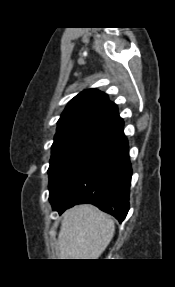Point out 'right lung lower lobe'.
Here are the masks:
<instances>
[{
    "label": "right lung lower lobe",
    "mask_w": 175,
    "mask_h": 287,
    "mask_svg": "<svg viewBox=\"0 0 175 287\" xmlns=\"http://www.w3.org/2000/svg\"><path fill=\"white\" fill-rule=\"evenodd\" d=\"M128 147L121 124L50 192L53 210L61 214L74 205L91 203L122 222L129 210L132 177Z\"/></svg>",
    "instance_id": "98d812e1"
}]
</instances>
